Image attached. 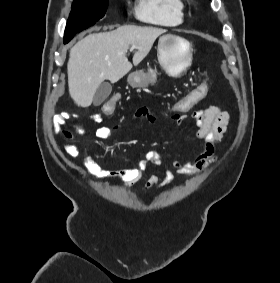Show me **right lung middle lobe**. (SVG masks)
Segmentation results:
<instances>
[{"instance_id":"right-lung-middle-lobe-1","label":"right lung middle lobe","mask_w":280,"mask_h":283,"mask_svg":"<svg viewBox=\"0 0 280 283\" xmlns=\"http://www.w3.org/2000/svg\"><path fill=\"white\" fill-rule=\"evenodd\" d=\"M107 7L108 0H74L64 33L65 43L102 18Z\"/></svg>"}]
</instances>
